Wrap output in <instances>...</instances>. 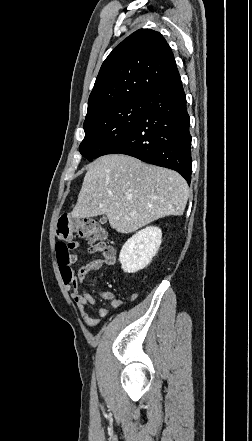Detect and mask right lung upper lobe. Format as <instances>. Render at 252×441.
<instances>
[{
  "instance_id": "right-lung-upper-lobe-1",
  "label": "right lung upper lobe",
  "mask_w": 252,
  "mask_h": 441,
  "mask_svg": "<svg viewBox=\"0 0 252 441\" xmlns=\"http://www.w3.org/2000/svg\"><path fill=\"white\" fill-rule=\"evenodd\" d=\"M177 71L172 50L159 32L135 31L103 62L89 96L86 118L103 109L142 98Z\"/></svg>"
}]
</instances>
